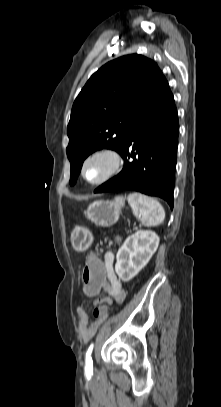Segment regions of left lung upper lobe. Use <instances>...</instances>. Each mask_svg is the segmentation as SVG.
Instances as JSON below:
<instances>
[{
    "label": "left lung upper lobe",
    "instance_id": "1",
    "mask_svg": "<svg viewBox=\"0 0 221 407\" xmlns=\"http://www.w3.org/2000/svg\"><path fill=\"white\" fill-rule=\"evenodd\" d=\"M163 78L153 60L138 54L110 61L90 77L74 101L67 127L71 185L92 152L122 151L135 118Z\"/></svg>",
    "mask_w": 221,
    "mask_h": 407
}]
</instances>
